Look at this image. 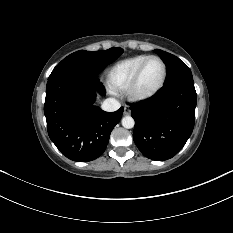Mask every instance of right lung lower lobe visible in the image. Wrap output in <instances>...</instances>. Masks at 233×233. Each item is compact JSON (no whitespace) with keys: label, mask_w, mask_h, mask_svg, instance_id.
<instances>
[{"label":"right lung lower lobe","mask_w":233,"mask_h":233,"mask_svg":"<svg viewBox=\"0 0 233 233\" xmlns=\"http://www.w3.org/2000/svg\"><path fill=\"white\" fill-rule=\"evenodd\" d=\"M105 90L95 75L61 74L48 78L44 114L50 139L67 158L87 162L106 149L123 108L108 113L94 106Z\"/></svg>","instance_id":"obj_1"}]
</instances>
